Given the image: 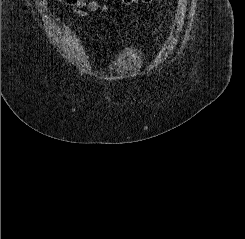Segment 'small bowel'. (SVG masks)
<instances>
[{"label":"small bowel","instance_id":"small-bowel-1","mask_svg":"<svg viewBox=\"0 0 245 239\" xmlns=\"http://www.w3.org/2000/svg\"><path fill=\"white\" fill-rule=\"evenodd\" d=\"M70 5H72L73 11L81 16L84 15L83 9H88L91 11L107 10L106 6L98 0H74V2Z\"/></svg>","mask_w":245,"mask_h":239}]
</instances>
